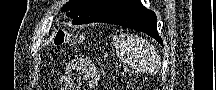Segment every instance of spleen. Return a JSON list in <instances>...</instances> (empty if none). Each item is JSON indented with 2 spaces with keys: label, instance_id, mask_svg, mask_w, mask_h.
<instances>
[{
  "label": "spleen",
  "instance_id": "spleen-1",
  "mask_svg": "<svg viewBox=\"0 0 216 90\" xmlns=\"http://www.w3.org/2000/svg\"><path fill=\"white\" fill-rule=\"evenodd\" d=\"M114 46L119 60L124 62L130 72L148 74L153 68V64L158 62L159 56H157L154 46L140 36L120 34V36H116Z\"/></svg>",
  "mask_w": 216,
  "mask_h": 90
}]
</instances>
